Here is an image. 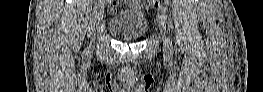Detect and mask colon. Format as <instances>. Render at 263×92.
I'll return each instance as SVG.
<instances>
[{
  "mask_svg": "<svg viewBox=\"0 0 263 92\" xmlns=\"http://www.w3.org/2000/svg\"><path fill=\"white\" fill-rule=\"evenodd\" d=\"M153 2L158 3V2H160V1H153ZM165 2H166V1H165ZM109 10H110V12H114V11L117 10V7H111Z\"/></svg>",
  "mask_w": 263,
  "mask_h": 92,
  "instance_id": "colon-1",
  "label": "colon"
}]
</instances>
